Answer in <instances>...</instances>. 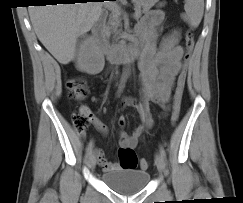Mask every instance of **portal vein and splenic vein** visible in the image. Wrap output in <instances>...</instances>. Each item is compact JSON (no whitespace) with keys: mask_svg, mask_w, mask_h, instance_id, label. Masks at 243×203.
I'll return each mask as SVG.
<instances>
[{"mask_svg":"<svg viewBox=\"0 0 243 203\" xmlns=\"http://www.w3.org/2000/svg\"><path fill=\"white\" fill-rule=\"evenodd\" d=\"M109 9L111 11H114V12H120L121 11V8L118 5H116V4L109 5ZM134 16L137 17V18L140 17L139 14L136 13V12H135Z\"/></svg>","mask_w":243,"mask_h":203,"instance_id":"portal-vein-and-splenic-vein-1","label":"portal vein and splenic vein"}]
</instances>
